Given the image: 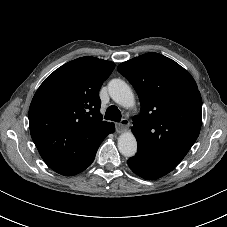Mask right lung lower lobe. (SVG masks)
I'll list each match as a JSON object with an SVG mask.
<instances>
[{"label":"right lung lower lobe","instance_id":"right-lung-lower-lobe-1","mask_svg":"<svg viewBox=\"0 0 227 227\" xmlns=\"http://www.w3.org/2000/svg\"><path fill=\"white\" fill-rule=\"evenodd\" d=\"M114 130H115V127L113 126V128L110 130V133L114 132ZM94 158L91 159L87 164H85L81 169H79L75 174H78V173L82 172L83 170H85L93 162ZM75 174H73V175H75Z\"/></svg>","mask_w":227,"mask_h":227}]
</instances>
